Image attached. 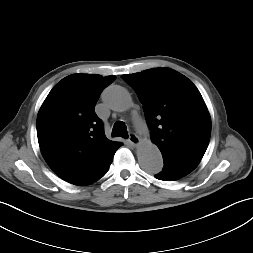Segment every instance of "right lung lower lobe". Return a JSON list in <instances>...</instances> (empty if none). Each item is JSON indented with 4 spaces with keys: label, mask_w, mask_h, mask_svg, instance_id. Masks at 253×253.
Masks as SVG:
<instances>
[{
    "label": "right lung lower lobe",
    "mask_w": 253,
    "mask_h": 253,
    "mask_svg": "<svg viewBox=\"0 0 253 253\" xmlns=\"http://www.w3.org/2000/svg\"><path fill=\"white\" fill-rule=\"evenodd\" d=\"M120 146H122V143L118 142L117 145L114 147V149H113V151H112V153H111V155H110V157H109V159H108V168H109V166H110V164H111V162H112V160H113V156H114L115 152L117 151V149H118ZM107 170H108V169H107Z\"/></svg>",
    "instance_id": "right-lung-lower-lobe-1"
}]
</instances>
